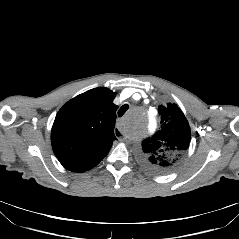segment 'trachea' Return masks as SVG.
Wrapping results in <instances>:
<instances>
[{"label": "trachea", "mask_w": 239, "mask_h": 239, "mask_svg": "<svg viewBox=\"0 0 239 239\" xmlns=\"http://www.w3.org/2000/svg\"><path fill=\"white\" fill-rule=\"evenodd\" d=\"M129 105L128 104H124L120 110L118 111V116L122 117L124 115V113L128 110Z\"/></svg>", "instance_id": "3493384b"}]
</instances>
